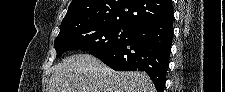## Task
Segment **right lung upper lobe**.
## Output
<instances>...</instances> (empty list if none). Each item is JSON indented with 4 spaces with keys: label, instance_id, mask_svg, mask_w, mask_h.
<instances>
[{
    "label": "right lung upper lobe",
    "instance_id": "1",
    "mask_svg": "<svg viewBox=\"0 0 225 92\" xmlns=\"http://www.w3.org/2000/svg\"><path fill=\"white\" fill-rule=\"evenodd\" d=\"M172 0H72L60 30L81 22H118L136 28L173 19Z\"/></svg>",
    "mask_w": 225,
    "mask_h": 92
}]
</instances>
